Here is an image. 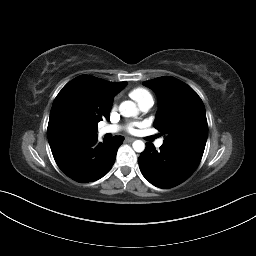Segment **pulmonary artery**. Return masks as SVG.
Segmentation results:
<instances>
[{
	"label": "pulmonary artery",
	"mask_w": 256,
	"mask_h": 256,
	"mask_svg": "<svg viewBox=\"0 0 256 256\" xmlns=\"http://www.w3.org/2000/svg\"><path fill=\"white\" fill-rule=\"evenodd\" d=\"M152 105H153V103L147 102V103L139 105V108H140L141 111L146 112V111H148L152 107ZM119 129H120V127L118 125H106V126H102L99 129V133L101 135H104V134H107V133H116V132L119 131ZM163 142H164L163 139H159L156 142V146L157 147L162 146Z\"/></svg>",
	"instance_id": "obj_1"
}]
</instances>
